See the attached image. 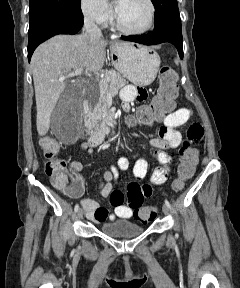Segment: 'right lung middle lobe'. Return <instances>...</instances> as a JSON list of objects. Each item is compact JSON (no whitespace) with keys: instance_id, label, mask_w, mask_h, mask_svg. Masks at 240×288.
<instances>
[{"instance_id":"right-lung-middle-lobe-1","label":"right lung middle lobe","mask_w":240,"mask_h":288,"mask_svg":"<svg viewBox=\"0 0 240 288\" xmlns=\"http://www.w3.org/2000/svg\"><path fill=\"white\" fill-rule=\"evenodd\" d=\"M29 31L54 17L83 18L80 0H30Z\"/></svg>"}]
</instances>
